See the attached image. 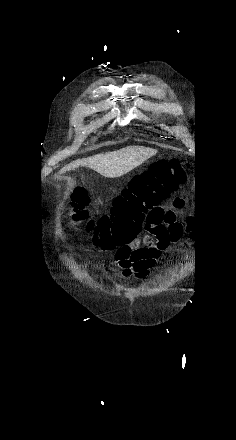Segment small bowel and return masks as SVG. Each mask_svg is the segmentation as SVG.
Segmentation results:
<instances>
[{
    "label": "small bowel",
    "mask_w": 236,
    "mask_h": 440,
    "mask_svg": "<svg viewBox=\"0 0 236 440\" xmlns=\"http://www.w3.org/2000/svg\"><path fill=\"white\" fill-rule=\"evenodd\" d=\"M183 206L182 199H177L172 209L156 206L146 215V235L117 248L115 257L123 277H144L170 244L182 239L187 230L179 218Z\"/></svg>",
    "instance_id": "obj_1"
}]
</instances>
